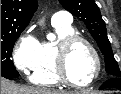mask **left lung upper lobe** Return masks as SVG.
Listing matches in <instances>:
<instances>
[{"label": "left lung upper lobe", "mask_w": 121, "mask_h": 94, "mask_svg": "<svg viewBox=\"0 0 121 94\" xmlns=\"http://www.w3.org/2000/svg\"><path fill=\"white\" fill-rule=\"evenodd\" d=\"M61 5L81 19L90 34L97 42L104 55L106 71L113 76H121L118 64L114 58L110 42L107 37L105 22L101 17L99 7L94 0H59Z\"/></svg>", "instance_id": "obj_1"}]
</instances>
